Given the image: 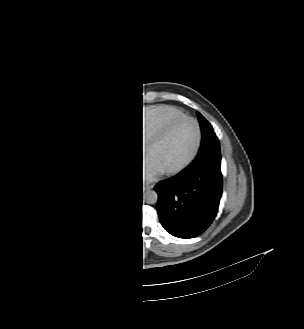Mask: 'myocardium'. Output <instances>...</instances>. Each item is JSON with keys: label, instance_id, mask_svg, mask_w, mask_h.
Instances as JSON below:
<instances>
[{"label": "myocardium", "instance_id": "myocardium-1", "mask_svg": "<svg viewBox=\"0 0 304 329\" xmlns=\"http://www.w3.org/2000/svg\"><path fill=\"white\" fill-rule=\"evenodd\" d=\"M182 120H190L195 124L196 129H197V140H196L195 146L193 148V151L191 152L189 157L179 166L172 168V169L162 171V173L165 175H175V174H178L179 172L183 171L186 167H188L194 161V159L198 155L200 147H201V143H202V129H201V126H200V123L198 122V120L195 119L194 117L186 115V114L181 115V116H176V117L169 119L162 126V128L148 141V143L146 144V146L144 148L145 156L147 158L149 152L154 148V146H156L158 143L163 141L168 136V134L170 133L173 126Z\"/></svg>", "mask_w": 304, "mask_h": 329}]
</instances>
